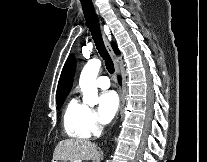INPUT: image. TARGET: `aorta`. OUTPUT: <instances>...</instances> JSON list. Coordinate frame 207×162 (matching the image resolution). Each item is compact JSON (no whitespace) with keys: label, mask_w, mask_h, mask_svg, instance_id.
I'll use <instances>...</instances> for the list:
<instances>
[{"label":"aorta","mask_w":207,"mask_h":162,"mask_svg":"<svg viewBox=\"0 0 207 162\" xmlns=\"http://www.w3.org/2000/svg\"><path fill=\"white\" fill-rule=\"evenodd\" d=\"M101 67L99 59H91L84 66L79 85L83 93V102L89 106H94L98 103L96 78Z\"/></svg>","instance_id":"762f6f07"}]
</instances>
